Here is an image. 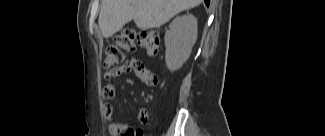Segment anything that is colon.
Returning <instances> with one entry per match:
<instances>
[{"instance_id":"1","label":"colon","mask_w":325,"mask_h":136,"mask_svg":"<svg viewBox=\"0 0 325 136\" xmlns=\"http://www.w3.org/2000/svg\"><path fill=\"white\" fill-rule=\"evenodd\" d=\"M161 39L158 32L153 30L136 31L125 29L117 34L113 42L104 53V67L111 68L123 60L124 53L135 51L137 46L142 47L150 56H157L160 50ZM122 136H143L141 130L128 128Z\"/></svg>"}]
</instances>
